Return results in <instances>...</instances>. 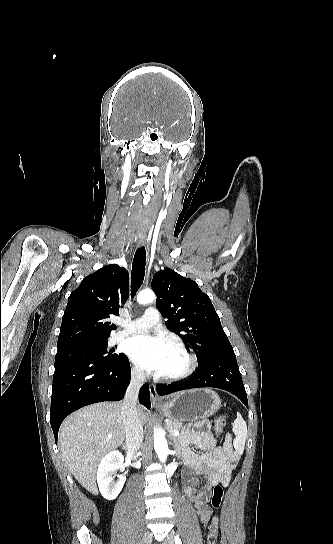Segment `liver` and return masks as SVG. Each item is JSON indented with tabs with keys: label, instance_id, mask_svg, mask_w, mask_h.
<instances>
[{
	"label": "liver",
	"instance_id": "1",
	"mask_svg": "<svg viewBox=\"0 0 333 544\" xmlns=\"http://www.w3.org/2000/svg\"><path fill=\"white\" fill-rule=\"evenodd\" d=\"M142 424L148 414L139 407ZM120 403H99L71 414L62 424L59 444L62 458L77 481L97 494L96 471L99 461L118 448L125 438Z\"/></svg>",
	"mask_w": 333,
	"mask_h": 544
}]
</instances>
